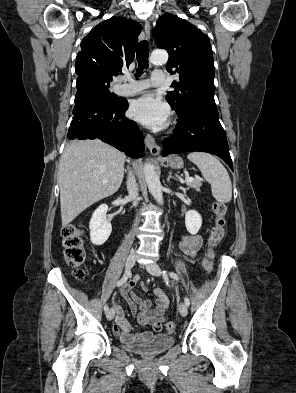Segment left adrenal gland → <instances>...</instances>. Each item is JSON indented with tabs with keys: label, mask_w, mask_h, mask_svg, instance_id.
Segmentation results:
<instances>
[{
	"label": "left adrenal gland",
	"mask_w": 296,
	"mask_h": 393,
	"mask_svg": "<svg viewBox=\"0 0 296 393\" xmlns=\"http://www.w3.org/2000/svg\"><path fill=\"white\" fill-rule=\"evenodd\" d=\"M170 179L177 180V178H176V177L172 176V172H171V171L169 172V176H168V178H167V181L169 182V181H170Z\"/></svg>",
	"instance_id": "1"
}]
</instances>
